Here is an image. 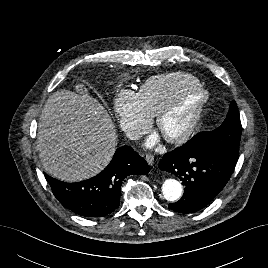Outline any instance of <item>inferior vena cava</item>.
<instances>
[{
  "mask_svg": "<svg viewBox=\"0 0 268 268\" xmlns=\"http://www.w3.org/2000/svg\"><path fill=\"white\" fill-rule=\"evenodd\" d=\"M125 132H126L127 137L131 140H138L141 137L139 131L133 128H127Z\"/></svg>",
  "mask_w": 268,
  "mask_h": 268,
  "instance_id": "obj_1",
  "label": "inferior vena cava"
}]
</instances>
